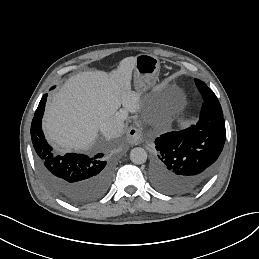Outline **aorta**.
I'll return each instance as SVG.
<instances>
[{
    "label": "aorta",
    "instance_id": "1",
    "mask_svg": "<svg viewBox=\"0 0 259 259\" xmlns=\"http://www.w3.org/2000/svg\"><path fill=\"white\" fill-rule=\"evenodd\" d=\"M130 160L134 164H143L147 160V152L141 147L133 148L130 152Z\"/></svg>",
    "mask_w": 259,
    "mask_h": 259
}]
</instances>
